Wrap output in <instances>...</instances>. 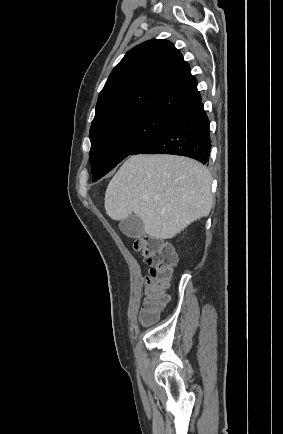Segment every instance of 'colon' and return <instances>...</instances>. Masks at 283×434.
<instances>
[{"mask_svg": "<svg viewBox=\"0 0 283 434\" xmlns=\"http://www.w3.org/2000/svg\"><path fill=\"white\" fill-rule=\"evenodd\" d=\"M134 249L151 267L146 277V298L141 322L149 324L157 319L165 306L176 257L171 247L153 237H139L133 243Z\"/></svg>", "mask_w": 283, "mask_h": 434, "instance_id": "5ec220e1", "label": "colon"}]
</instances>
